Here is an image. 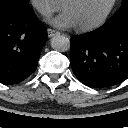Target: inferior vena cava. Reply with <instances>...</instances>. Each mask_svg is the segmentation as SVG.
Masks as SVG:
<instances>
[{
  "label": "inferior vena cava",
  "mask_w": 128,
  "mask_h": 128,
  "mask_svg": "<svg viewBox=\"0 0 128 128\" xmlns=\"http://www.w3.org/2000/svg\"><path fill=\"white\" fill-rule=\"evenodd\" d=\"M38 10H39L42 14L49 13V9H48L46 6H44V5L40 6V7L38 8Z\"/></svg>",
  "instance_id": "obj_1"
}]
</instances>
